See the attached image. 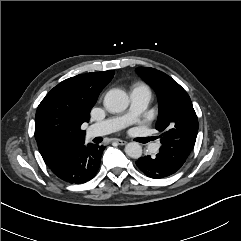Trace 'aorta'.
<instances>
[{
  "label": "aorta",
  "mask_w": 241,
  "mask_h": 241,
  "mask_svg": "<svg viewBox=\"0 0 241 241\" xmlns=\"http://www.w3.org/2000/svg\"><path fill=\"white\" fill-rule=\"evenodd\" d=\"M128 105L129 98L123 90L111 89L104 97V106L109 112H122ZM125 153L131 158L138 159L142 155V147L137 142H130L125 146Z\"/></svg>",
  "instance_id": "aorta-1"
}]
</instances>
